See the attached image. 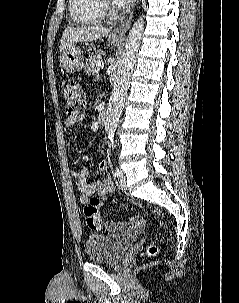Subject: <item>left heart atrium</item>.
<instances>
[{
	"instance_id": "1",
	"label": "left heart atrium",
	"mask_w": 239,
	"mask_h": 303,
	"mask_svg": "<svg viewBox=\"0 0 239 303\" xmlns=\"http://www.w3.org/2000/svg\"><path fill=\"white\" fill-rule=\"evenodd\" d=\"M132 0H113L114 4L120 8H124L131 3Z\"/></svg>"
}]
</instances>
